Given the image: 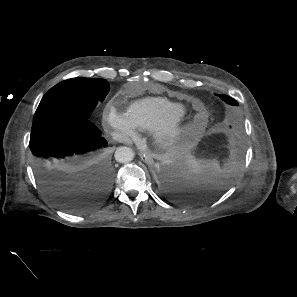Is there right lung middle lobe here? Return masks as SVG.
<instances>
[{
	"mask_svg": "<svg viewBox=\"0 0 297 297\" xmlns=\"http://www.w3.org/2000/svg\"><path fill=\"white\" fill-rule=\"evenodd\" d=\"M109 91L104 79L73 78L51 88L42 98L33 119L32 128L66 115L88 116L98 100Z\"/></svg>",
	"mask_w": 297,
	"mask_h": 297,
	"instance_id": "obj_1",
	"label": "right lung middle lobe"
}]
</instances>
